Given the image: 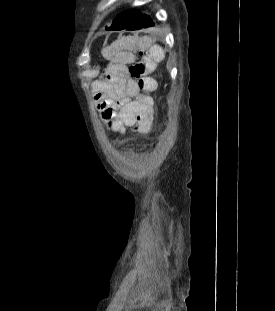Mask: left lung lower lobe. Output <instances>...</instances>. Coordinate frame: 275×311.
Segmentation results:
<instances>
[{"mask_svg":"<svg viewBox=\"0 0 275 311\" xmlns=\"http://www.w3.org/2000/svg\"><path fill=\"white\" fill-rule=\"evenodd\" d=\"M152 26H154V23L152 22L151 18L147 15L140 14L138 18L125 29L135 31V30H141L144 28L152 27Z\"/></svg>","mask_w":275,"mask_h":311,"instance_id":"obj_1","label":"left lung lower lobe"}]
</instances>
